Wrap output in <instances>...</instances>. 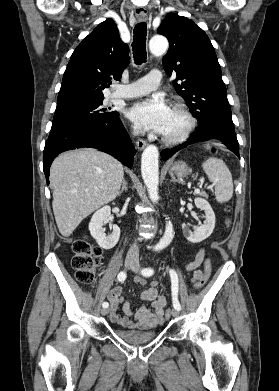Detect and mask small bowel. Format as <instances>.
<instances>
[{
  "label": "small bowel",
  "instance_id": "c3829d8e",
  "mask_svg": "<svg viewBox=\"0 0 279 391\" xmlns=\"http://www.w3.org/2000/svg\"><path fill=\"white\" fill-rule=\"evenodd\" d=\"M205 260V250L202 248L198 251L194 260L187 264V269L193 273V282H196L201 277L202 272L198 270V267L205 262ZM135 282L141 286L146 284V281L143 278H136ZM142 299L150 301L152 306H143L138 310H133L129 302L123 301L122 287H114L108 294L111 321L118 326L127 329L147 330L161 325L167 299L164 295L158 293L157 283L155 281L142 293ZM121 303L123 304V315L117 313Z\"/></svg>",
  "mask_w": 279,
  "mask_h": 391
}]
</instances>
